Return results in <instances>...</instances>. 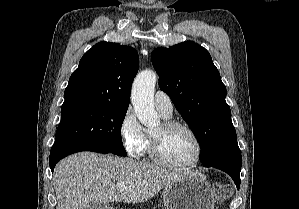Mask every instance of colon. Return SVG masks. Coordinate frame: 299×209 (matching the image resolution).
Masks as SVG:
<instances>
[{"label":"colon","mask_w":299,"mask_h":209,"mask_svg":"<svg viewBox=\"0 0 299 209\" xmlns=\"http://www.w3.org/2000/svg\"><path fill=\"white\" fill-rule=\"evenodd\" d=\"M213 193L216 200L222 203L232 194V188L228 184L215 183L213 185Z\"/></svg>","instance_id":"colon-1"}]
</instances>
